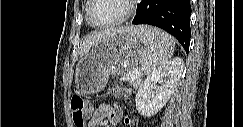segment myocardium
Returning <instances> with one entry per match:
<instances>
[{"label": "myocardium", "mask_w": 243, "mask_h": 127, "mask_svg": "<svg viewBox=\"0 0 243 127\" xmlns=\"http://www.w3.org/2000/svg\"><path fill=\"white\" fill-rule=\"evenodd\" d=\"M93 1L94 0L87 1L85 11H86V19H87L88 23L95 28H108V27H113V26L122 24L123 22L127 21L135 13L136 4H137L136 0H124L126 3V11L121 17H119L111 22H108V23L97 24V23L93 22V20L91 18V13H90Z\"/></svg>", "instance_id": "1"}]
</instances>
